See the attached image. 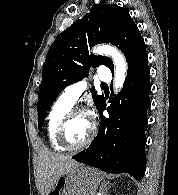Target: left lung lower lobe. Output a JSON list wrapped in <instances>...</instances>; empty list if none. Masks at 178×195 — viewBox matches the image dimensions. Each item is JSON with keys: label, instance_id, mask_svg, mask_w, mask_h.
Returning a JSON list of instances; mask_svg holds the SVG:
<instances>
[{"label": "left lung lower lobe", "instance_id": "obj_1", "mask_svg": "<svg viewBox=\"0 0 178 195\" xmlns=\"http://www.w3.org/2000/svg\"><path fill=\"white\" fill-rule=\"evenodd\" d=\"M150 69L144 52L128 63L121 93L108 101V117L103 116L106 101L98 108L101 123L98 134L87 150L72 158L109 173H129L142 179L145 170V126L150 106Z\"/></svg>", "mask_w": 178, "mask_h": 195}]
</instances>
